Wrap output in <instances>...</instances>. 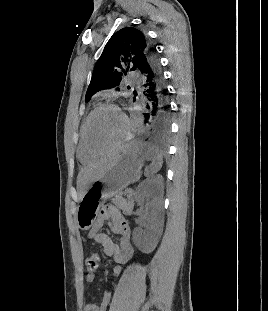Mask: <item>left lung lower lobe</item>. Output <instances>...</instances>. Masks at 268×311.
Instances as JSON below:
<instances>
[{
	"instance_id": "left-lung-lower-lobe-1",
	"label": "left lung lower lobe",
	"mask_w": 268,
	"mask_h": 311,
	"mask_svg": "<svg viewBox=\"0 0 268 311\" xmlns=\"http://www.w3.org/2000/svg\"><path fill=\"white\" fill-rule=\"evenodd\" d=\"M144 110L133 142L168 141L171 111L158 57L148 47V59L138 66Z\"/></svg>"
}]
</instances>
